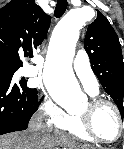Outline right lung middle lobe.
<instances>
[{"mask_svg": "<svg viewBox=\"0 0 124 149\" xmlns=\"http://www.w3.org/2000/svg\"><path fill=\"white\" fill-rule=\"evenodd\" d=\"M17 70H18L17 68H3V67H2V68H0V75L6 76L7 78L12 79L14 73H15ZM19 83H20V84H23V85L26 84V82H22V81H20Z\"/></svg>", "mask_w": 124, "mask_h": 149, "instance_id": "right-lung-middle-lobe-1", "label": "right lung middle lobe"}]
</instances>
